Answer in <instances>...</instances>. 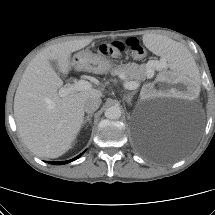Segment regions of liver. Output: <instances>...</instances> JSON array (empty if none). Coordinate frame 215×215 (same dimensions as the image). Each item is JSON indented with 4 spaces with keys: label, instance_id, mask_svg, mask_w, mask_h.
<instances>
[{
    "label": "liver",
    "instance_id": "obj_1",
    "mask_svg": "<svg viewBox=\"0 0 215 215\" xmlns=\"http://www.w3.org/2000/svg\"><path fill=\"white\" fill-rule=\"evenodd\" d=\"M92 42L91 38L50 45L26 67L14 97V117L25 146L36 156L58 158L72 146L84 121V103L100 98L98 89L60 96L63 85L50 64L56 61L62 73L72 66L71 54Z\"/></svg>",
    "mask_w": 215,
    "mask_h": 215
}]
</instances>
